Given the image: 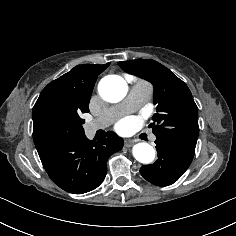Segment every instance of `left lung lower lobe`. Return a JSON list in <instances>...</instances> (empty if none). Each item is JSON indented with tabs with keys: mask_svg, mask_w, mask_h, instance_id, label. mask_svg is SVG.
Wrapping results in <instances>:
<instances>
[{
	"mask_svg": "<svg viewBox=\"0 0 236 236\" xmlns=\"http://www.w3.org/2000/svg\"><path fill=\"white\" fill-rule=\"evenodd\" d=\"M195 147L196 143L177 138H157L158 160L152 165L142 166L140 173L154 185H171L183 175L191 164Z\"/></svg>",
	"mask_w": 236,
	"mask_h": 236,
	"instance_id": "obj_1",
	"label": "left lung lower lobe"
}]
</instances>
